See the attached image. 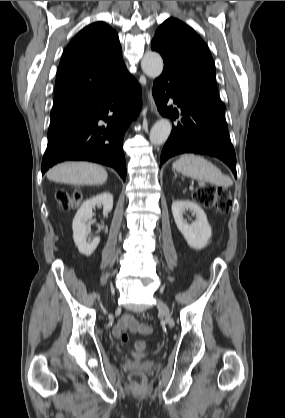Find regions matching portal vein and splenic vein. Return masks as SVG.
Returning <instances> with one entry per match:
<instances>
[{"mask_svg": "<svg viewBox=\"0 0 285 418\" xmlns=\"http://www.w3.org/2000/svg\"><path fill=\"white\" fill-rule=\"evenodd\" d=\"M199 185L202 186V185H204V183L203 182H199Z\"/></svg>", "mask_w": 285, "mask_h": 418, "instance_id": "portal-vein-and-splenic-vein-1", "label": "portal vein and splenic vein"}]
</instances>
